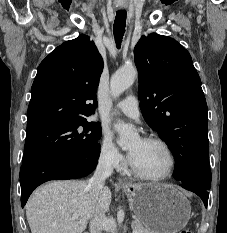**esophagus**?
Returning <instances> with one entry per match:
<instances>
[{"mask_svg": "<svg viewBox=\"0 0 227 233\" xmlns=\"http://www.w3.org/2000/svg\"><path fill=\"white\" fill-rule=\"evenodd\" d=\"M118 182L121 186H127V183L121 178L118 180Z\"/></svg>", "mask_w": 227, "mask_h": 233, "instance_id": "34e87169", "label": "esophagus"}]
</instances>
